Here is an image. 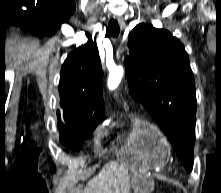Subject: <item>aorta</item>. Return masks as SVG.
I'll return each mask as SVG.
<instances>
[{
    "instance_id": "aorta-1",
    "label": "aorta",
    "mask_w": 221,
    "mask_h": 193,
    "mask_svg": "<svg viewBox=\"0 0 221 193\" xmlns=\"http://www.w3.org/2000/svg\"><path fill=\"white\" fill-rule=\"evenodd\" d=\"M124 74V69L120 66L115 67L114 69L110 70L109 77H108V86L110 89H115L119 85L122 76Z\"/></svg>"
}]
</instances>
